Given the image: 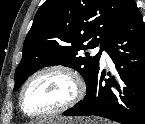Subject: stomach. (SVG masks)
<instances>
[{
  "label": "stomach",
  "instance_id": "stomach-1",
  "mask_svg": "<svg viewBox=\"0 0 145 124\" xmlns=\"http://www.w3.org/2000/svg\"><path fill=\"white\" fill-rule=\"evenodd\" d=\"M43 124H106V123H103L102 121L93 118H81V119L58 118L51 119Z\"/></svg>",
  "mask_w": 145,
  "mask_h": 124
}]
</instances>
